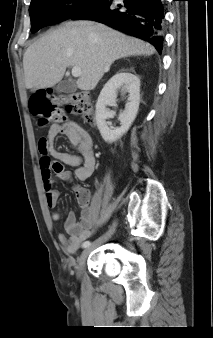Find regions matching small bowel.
Returning a JSON list of instances; mask_svg holds the SVG:
<instances>
[{
    "instance_id": "1",
    "label": "small bowel",
    "mask_w": 213,
    "mask_h": 338,
    "mask_svg": "<svg viewBox=\"0 0 213 338\" xmlns=\"http://www.w3.org/2000/svg\"><path fill=\"white\" fill-rule=\"evenodd\" d=\"M58 135H64L77 148L78 153L69 154L56 149L53 142ZM93 145V139L89 133L72 120H67L63 124H52L47 135L38 138L37 146L41 153L40 170L48 208L54 210L60 196L54 181L69 182L73 178L72 173L65 170L64 164L76 167L74 175L79 181H85L92 175L96 164ZM74 191L77 202L82 208L81 216L77 220L74 215L70 214L65 222L66 234L58 235V240L67 254H75L81 244L95 231L90 191L81 186L75 187ZM51 219L58 222L60 214L53 211Z\"/></svg>"
}]
</instances>
